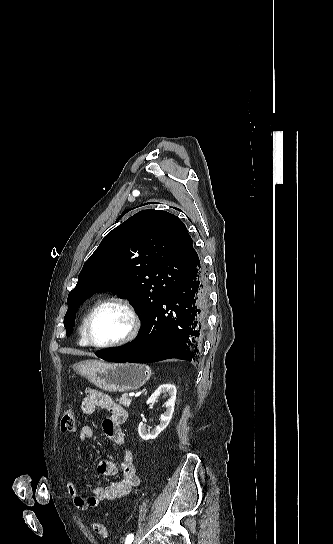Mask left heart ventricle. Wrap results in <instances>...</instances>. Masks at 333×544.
Instances as JSON below:
<instances>
[{"instance_id": "obj_1", "label": "left heart ventricle", "mask_w": 333, "mask_h": 544, "mask_svg": "<svg viewBox=\"0 0 333 544\" xmlns=\"http://www.w3.org/2000/svg\"><path fill=\"white\" fill-rule=\"evenodd\" d=\"M131 318L127 310L116 303L101 307L91 322V336L100 344L115 342L129 331Z\"/></svg>"}]
</instances>
